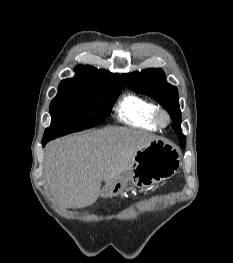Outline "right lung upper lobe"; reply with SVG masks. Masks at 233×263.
I'll use <instances>...</instances> for the list:
<instances>
[{
	"label": "right lung upper lobe",
	"instance_id": "obj_1",
	"mask_svg": "<svg viewBox=\"0 0 233 263\" xmlns=\"http://www.w3.org/2000/svg\"><path fill=\"white\" fill-rule=\"evenodd\" d=\"M75 77L62 80L57 96L97 94L113 88L124 87L119 74L98 70L92 66H77Z\"/></svg>",
	"mask_w": 233,
	"mask_h": 263
}]
</instances>
